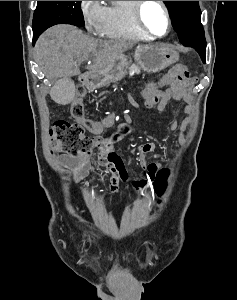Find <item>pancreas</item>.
<instances>
[{
    "label": "pancreas",
    "instance_id": "cf45deb5",
    "mask_svg": "<svg viewBox=\"0 0 237 300\" xmlns=\"http://www.w3.org/2000/svg\"><path fill=\"white\" fill-rule=\"evenodd\" d=\"M128 69H129V73H140V69L139 67H137V65H130Z\"/></svg>",
    "mask_w": 237,
    "mask_h": 300
}]
</instances>
